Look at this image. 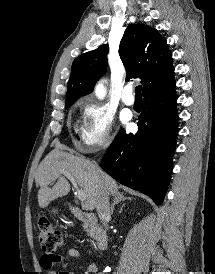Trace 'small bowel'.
Instances as JSON below:
<instances>
[{"instance_id":"c3829d8e","label":"small bowel","mask_w":215,"mask_h":274,"mask_svg":"<svg viewBox=\"0 0 215 274\" xmlns=\"http://www.w3.org/2000/svg\"><path fill=\"white\" fill-rule=\"evenodd\" d=\"M82 252L92 255L91 250L82 248L77 244H71L70 247L67 249L66 254L68 257L81 259ZM62 260L63 258L60 255L45 253L41 256L40 265L49 274H75L74 272L67 271V270L56 271L54 269L55 264L61 262ZM86 272L87 274H103L98 271V267L95 261H92L88 265Z\"/></svg>"}]
</instances>
